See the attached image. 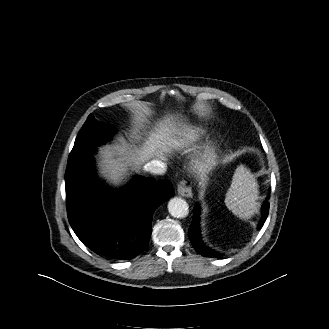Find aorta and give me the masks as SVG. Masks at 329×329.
<instances>
[{"mask_svg": "<svg viewBox=\"0 0 329 329\" xmlns=\"http://www.w3.org/2000/svg\"><path fill=\"white\" fill-rule=\"evenodd\" d=\"M168 211L175 218H184L189 213V206L184 199L174 197L168 202Z\"/></svg>", "mask_w": 329, "mask_h": 329, "instance_id": "762f6f07", "label": "aorta"}]
</instances>
